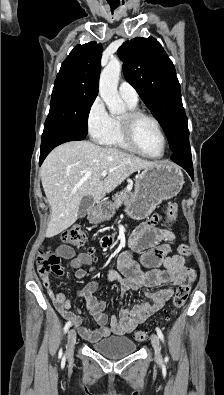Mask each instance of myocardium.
<instances>
[{"instance_id": "1", "label": "myocardium", "mask_w": 224, "mask_h": 395, "mask_svg": "<svg viewBox=\"0 0 224 395\" xmlns=\"http://www.w3.org/2000/svg\"><path fill=\"white\" fill-rule=\"evenodd\" d=\"M141 119H148L153 122L162 137L163 151L158 156L151 155L144 151L136 139V125ZM120 123L123 138L132 150L151 159H161L165 156L167 150V137L161 123L156 117L139 109H131L120 118Z\"/></svg>"}]
</instances>
